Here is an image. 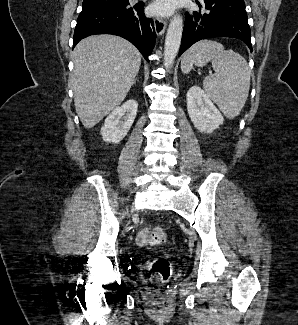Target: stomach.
Instances as JSON below:
<instances>
[{
	"label": "stomach",
	"instance_id": "1",
	"mask_svg": "<svg viewBox=\"0 0 298 325\" xmlns=\"http://www.w3.org/2000/svg\"><path fill=\"white\" fill-rule=\"evenodd\" d=\"M183 62H184V58H183V60H182L181 64H183Z\"/></svg>",
	"mask_w": 298,
	"mask_h": 325
}]
</instances>
